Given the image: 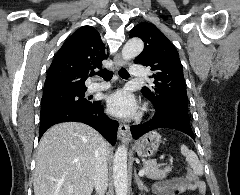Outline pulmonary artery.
Instances as JSON below:
<instances>
[{"mask_svg": "<svg viewBox=\"0 0 240 195\" xmlns=\"http://www.w3.org/2000/svg\"><path fill=\"white\" fill-rule=\"evenodd\" d=\"M146 66L145 65H132L131 66V77L132 78H137L138 76H148V71H142L145 70ZM109 83L108 82H93L91 83L88 88H87V92L88 93H94V92H98L101 90H105L109 87Z\"/></svg>", "mask_w": 240, "mask_h": 195, "instance_id": "e3ab8cb5", "label": "pulmonary artery"}]
</instances>
